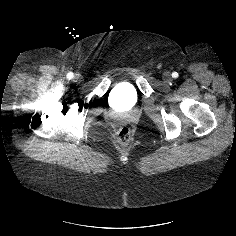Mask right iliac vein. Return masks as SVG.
<instances>
[{"instance_id":"63e3f726","label":"right iliac vein","mask_w":236,"mask_h":236,"mask_svg":"<svg viewBox=\"0 0 236 236\" xmlns=\"http://www.w3.org/2000/svg\"><path fill=\"white\" fill-rule=\"evenodd\" d=\"M76 78H77V79H79V78H80V76H76Z\"/></svg>"}]
</instances>
